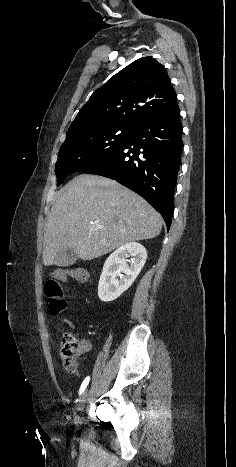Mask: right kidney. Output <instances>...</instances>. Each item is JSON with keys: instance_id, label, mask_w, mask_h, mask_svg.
<instances>
[{"instance_id": "ca27d5eb", "label": "right kidney", "mask_w": 236, "mask_h": 467, "mask_svg": "<svg viewBox=\"0 0 236 467\" xmlns=\"http://www.w3.org/2000/svg\"><path fill=\"white\" fill-rule=\"evenodd\" d=\"M146 259L145 247L137 242L127 243L115 250L103 266L98 284L99 299L103 302L117 299L132 285Z\"/></svg>"}]
</instances>
